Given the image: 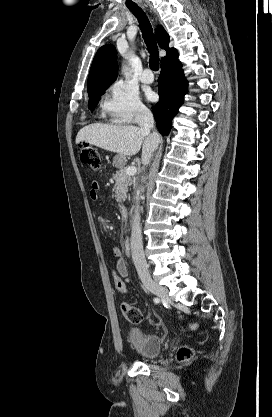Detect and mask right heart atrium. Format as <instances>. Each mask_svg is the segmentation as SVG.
<instances>
[{"mask_svg": "<svg viewBox=\"0 0 272 417\" xmlns=\"http://www.w3.org/2000/svg\"><path fill=\"white\" fill-rule=\"evenodd\" d=\"M104 113L115 123H133L149 114L139 93L122 81L114 82L102 103Z\"/></svg>", "mask_w": 272, "mask_h": 417, "instance_id": "1", "label": "right heart atrium"}]
</instances>
